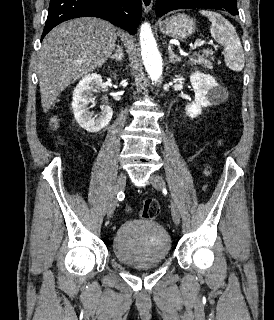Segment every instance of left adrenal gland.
<instances>
[{"label": "left adrenal gland", "instance_id": "a2214340", "mask_svg": "<svg viewBox=\"0 0 274 320\" xmlns=\"http://www.w3.org/2000/svg\"><path fill=\"white\" fill-rule=\"evenodd\" d=\"M168 56L170 64H175V62H181V58L176 56L175 52H173L171 46H168Z\"/></svg>", "mask_w": 274, "mask_h": 320}]
</instances>
